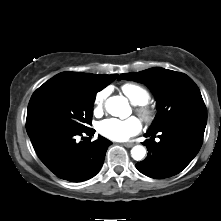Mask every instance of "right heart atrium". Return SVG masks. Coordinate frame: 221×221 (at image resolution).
Returning <instances> with one entry per match:
<instances>
[{
  "label": "right heart atrium",
  "instance_id": "1",
  "mask_svg": "<svg viewBox=\"0 0 221 221\" xmlns=\"http://www.w3.org/2000/svg\"><path fill=\"white\" fill-rule=\"evenodd\" d=\"M108 94V89H103L96 94L94 98V113L99 114L102 112Z\"/></svg>",
  "mask_w": 221,
  "mask_h": 221
}]
</instances>
